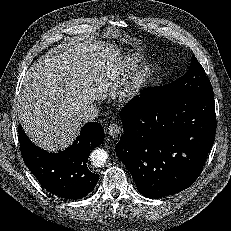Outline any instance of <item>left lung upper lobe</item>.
<instances>
[{
    "instance_id": "obj_1",
    "label": "left lung upper lobe",
    "mask_w": 231,
    "mask_h": 231,
    "mask_svg": "<svg viewBox=\"0 0 231 231\" xmlns=\"http://www.w3.org/2000/svg\"><path fill=\"white\" fill-rule=\"evenodd\" d=\"M151 90V99L160 102L191 93H213L210 80L194 55L187 73L173 83Z\"/></svg>"
}]
</instances>
